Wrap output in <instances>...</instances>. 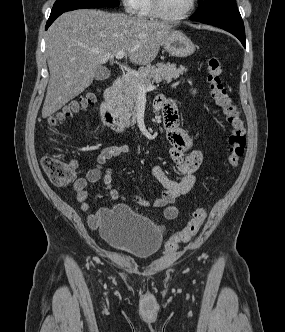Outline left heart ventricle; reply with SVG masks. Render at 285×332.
<instances>
[{
	"label": "left heart ventricle",
	"instance_id": "1",
	"mask_svg": "<svg viewBox=\"0 0 285 332\" xmlns=\"http://www.w3.org/2000/svg\"><path fill=\"white\" fill-rule=\"evenodd\" d=\"M164 10L171 16L183 14L189 7L191 0H162Z\"/></svg>",
	"mask_w": 285,
	"mask_h": 332
}]
</instances>
